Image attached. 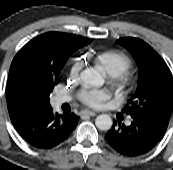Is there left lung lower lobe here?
<instances>
[{
	"mask_svg": "<svg viewBox=\"0 0 173 170\" xmlns=\"http://www.w3.org/2000/svg\"><path fill=\"white\" fill-rule=\"evenodd\" d=\"M129 126L114 121L106 134L108 144L125 156H139L149 152L164 136L167 127L146 117L131 116Z\"/></svg>",
	"mask_w": 173,
	"mask_h": 170,
	"instance_id": "obj_1",
	"label": "left lung lower lobe"
}]
</instances>
